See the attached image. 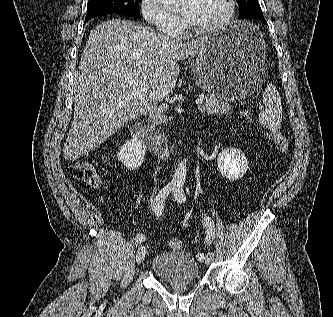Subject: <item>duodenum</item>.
Here are the masks:
<instances>
[{
  "label": "duodenum",
  "mask_w": 333,
  "mask_h": 317,
  "mask_svg": "<svg viewBox=\"0 0 333 317\" xmlns=\"http://www.w3.org/2000/svg\"><path fill=\"white\" fill-rule=\"evenodd\" d=\"M130 132L133 139L142 145L146 150L156 154L160 158L169 157L170 146L164 136L147 130L140 124L134 125Z\"/></svg>",
  "instance_id": "obj_1"
}]
</instances>
